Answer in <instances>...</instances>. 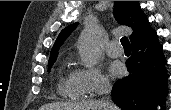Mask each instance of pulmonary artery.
<instances>
[{"mask_svg":"<svg viewBox=\"0 0 171 110\" xmlns=\"http://www.w3.org/2000/svg\"><path fill=\"white\" fill-rule=\"evenodd\" d=\"M106 52L110 57H119L123 54V50L118 41H111L107 47Z\"/></svg>","mask_w":171,"mask_h":110,"instance_id":"e3ab8cb5","label":"pulmonary artery"}]
</instances>
